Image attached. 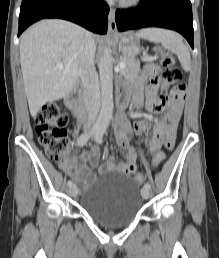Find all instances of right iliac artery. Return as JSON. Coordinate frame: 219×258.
I'll list each match as a JSON object with an SVG mask.
<instances>
[{"label": "right iliac artery", "instance_id": "82829eb1", "mask_svg": "<svg viewBox=\"0 0 219 258\" xmlns=\"http://www.w3.org/2000/svg\"><path fill=\"white\" fill-rule=\"evenodd\" d=\"M96 131H97L96 129H92L90 132L80 135L79 138L77 139L78 146H84L87 143V141L89 140V138L91 136H93ZM67 186L68 187L73 186V182L71 180H69L67 182Z\"/></svg>", "mask_w": 219, "mask_h": 258}]
</instances>
